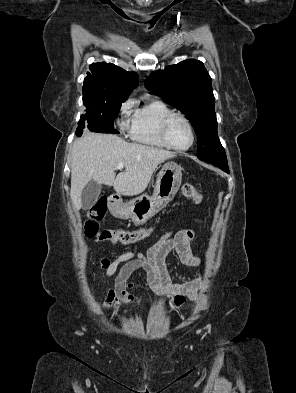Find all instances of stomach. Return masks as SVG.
Returning a JSON list of instances; mask_svg holds the SVG:
<instances>
[{"mask_svg": "<svg viewBox=\"0 0 296 393\" xmlns=\"http://www.w3.org/2000/svg\"><path fill=\"white\" fill-rule=\"evenodd\" d=\"M181 182V167L175 162H167L157 175L151 196L142 195L127 203L118 200L114 204L112 213L117 218L131 219L135 224H143L173 199Z\"/></svg>", "mask_w": 296, "mask_h": 393, "instance_id": "0dacf381", "label": "stomach"}]
</instances>
